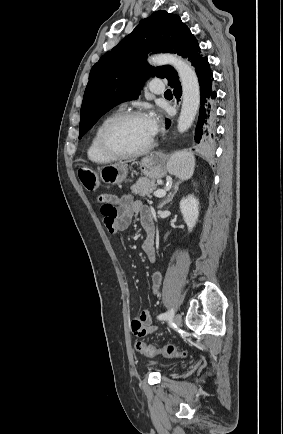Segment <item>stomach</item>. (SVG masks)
Listing matches in <instances>:
<instances>
[{"instance_id": "stomach-1", "label": "stomach", "mask_w": 283, "mask_h": 434, "mask_svg": "<svg viewBox=\"0 0 283 434\" xmlns=\"http://www.w3.org/2000/svg\"><path fill=\"white\" fill-rule=\"evenodd\" d=\"M141 172L153 181L161 179L167 174V168L162 159L156 155L151 154L144 157L140 162ZM128 174L127 165L124 163H115L103 166L100 171V179L106 184H120L125 181Z\"/></svg>"}]
</instances>
